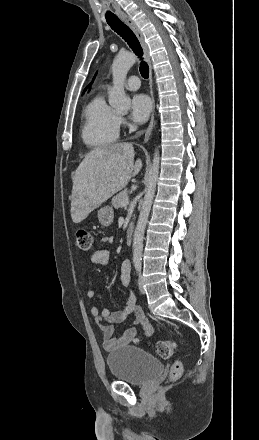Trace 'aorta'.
Here are the masks:
<instances>
[{
	"label": "aorta",
	"mask_w": 259,
	"mask_h": 440,
	"mask_svg": "<svg viewBox=\"0 0 259 440\" xmlns=\"http://www.w3.org/2000/svg\"><path fill=\"white\" fill-rule=\"evenodd\" d=\"M137 57L132 53L118 54L112 63L113 86L109 90V104L111 107L119 111H128L131 107V100L126 95L124 84L129 69L136 62ZM159 151L155 150L153 163L147 185L145 188V196L142 203L139 219L134 232L133 238V260L140 262L143 250V239L148 216L151 210L153 198L155 195L156 184L159 175Z\"/></svg>",
	"instance_id": "762f6f07"
}]
</instances>
